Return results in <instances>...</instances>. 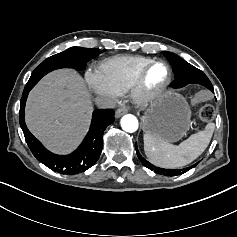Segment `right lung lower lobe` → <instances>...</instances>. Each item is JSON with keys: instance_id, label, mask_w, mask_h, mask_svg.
<instances>
[{"instance_id": "98d812e1", "label": "right lung lower lobe", "mask_w": 237, "mask_h": 237, "mask_svg": "<svg viewBox=\"0 0 237 237\" xmlns=\"http://www.w3.org/2000/svg\"><path fill=\"white\" fill-rule=\"evenodd\" d=\"M33 87L27 85L24 88L20 101L19 120L25 140L34 156L45 166L61 174L74 175L81 173L98 160L102 151V136L108 125L114 122L112 109H100L93 112L90 130L76 151L69 155H56L48 151L28 130L24 114L25 103L29 91Z\"/></svg>"}]
</instances>
